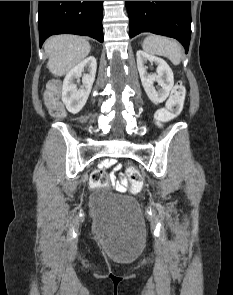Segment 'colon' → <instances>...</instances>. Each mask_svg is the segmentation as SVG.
I'll list each match as a JSON object with an SVG mask.
<instances>
[{
    "instance_id": "1",
    "label": "colon",
    "mask_w": 233,
    "mask_h": 295,
    "mask_svg": "<svg viewBox=\"0 0 233 295\" xmlns=\"http://www.w3.org/2000/svg\"><path fill=\"white\" fill-rule=\"evenodd\" d=\"M185 86L182 82H178L172 89L171 96L167 102V106L160 109L156 118L159 123L163 124L173 120L181 112L185 100ZM44 100L50 113L55 117H63L64 110L59 100V85L51 83L46 89ZM127 176L132 184V191H138L142 186V175L135 167L127 168ZM92 188L103 187L108 184V175L101 169L94 170L89 180Z\"/></svg>"
}]
</instances>
